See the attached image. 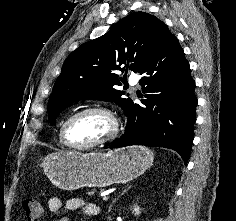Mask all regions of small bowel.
<instances>
[{"instance_id":"small-bowel-1","label":"small bowel","mask_w":236,"mask_h":221,"mask_svg":"<svg viewBox=\"0 0 236 221\" xmlns=\"http://www.w3.org/2000/svg\"><path fill=\"white\" fill-rule=\"evenodd\" d=\"M49 210L53 213H58L62 210L76 211L82 209L88 217L97 216L100 213V207L93 202H88L80 197H73L63 200L60 197H51L48 201ZM58 221H68V218L63 216Z\"/></svg>"}]
</instances>
